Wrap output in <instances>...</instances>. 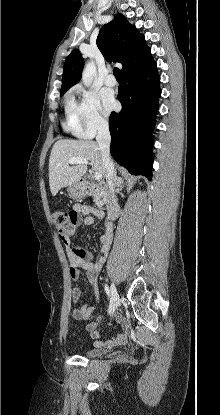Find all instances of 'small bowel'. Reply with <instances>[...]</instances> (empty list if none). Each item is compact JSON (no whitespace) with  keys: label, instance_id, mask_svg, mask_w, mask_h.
<instances>
[{"label":"small bowel","instance_id":"c3829d8e","mask_svg":"<svg viewBox=\"0 0 220 415\" xmlns=\"http://www.w3.org/2000/svg\"><path fill=\"white\" fill-rule=\"evenodd\" d=\"M71 213L75 215V219L71 221L68 229H66L63 233H59V237L67 249V256L70 265L69 273L71 278L76 281L81 277H85L93 288V295L96 303L99 300L98 273L111 248L113 240V225L110 222L106 223V231L100 237L99 254L95 256V254L90 250L73 247L72 237L79 225H92L95 218L102 219L104 217V212L90 205L76 204L74 205ZM81 296L82 290L80 288H74L72 291V300L77 302ZM95 307V304L76 307L72 311V316L77 321L87 322V331L90 333L91 337L99 339L101 337V333L98 330V324L93 322L96 317ZM115 321L120 325L121 331L109 340L94 342L95 346L112 348L123 345L127 342L129 328L125 319L120 315H116Z\"/></svg>","mask_w":220,"mask_h":415}]
</instances>
